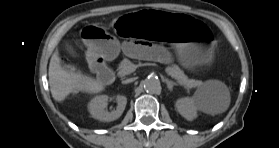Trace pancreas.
<instances>
[{"label": "pancreas", "instance_id": "pancreas-1", "mask_svg": "<svg viewBox=\"0 0 279 148\" xmlns=\"http://www.w3.org/2000/svg\"><path fill=\"white\" fill-rule=\"evenodd\" d=\"M132 65H134V64L130 60L125 58L119 65L118 75L123 77V76L129 75L132 72H134L132 70ZM166 72L168 73V75L175 78L179 83L184 82V81H188V82H191L193 84L201 85L200 81L193 80V79H188V77L184 74V72L176 64H173L171 66L166 67Z\"/></svg>", "mask_w": 279, "mask_h": 148}]
</instances>
